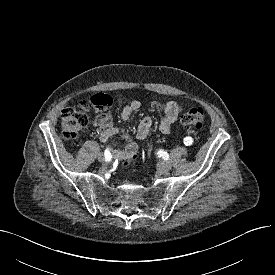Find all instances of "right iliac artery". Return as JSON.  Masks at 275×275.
Returning a JSON list of instances; mask_svg holds the SVG:
<instances>
[{
    "label": "right iliac artery",
    "mask_w": 275,
    "mask_h": 275,
    "mask_svg": "<svg viewBox=\"0 0 275 275\" xmlns=\"http://www.w3.org/2000/svg\"><path fill=\"white\" fill-rule=\"evenodd\" d=\"M104 157H105V160H106V161H110V160H111L112 155H111L109 149H106V150H105V152H104Z\"/></svg>",
    "instance_id": "right-iliac-artery-1"
}]
</instances>
